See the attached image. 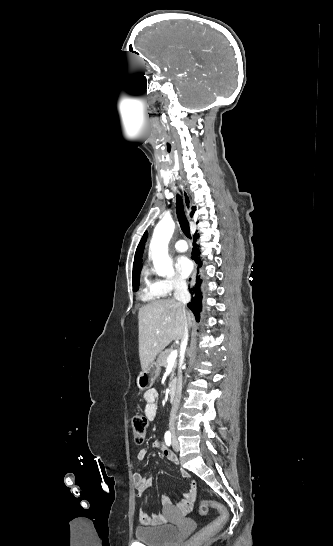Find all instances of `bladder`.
<instances>
[{
  "label": "bladder",
  "mask_w": 333,
  "mask_h": 546,
  "mask_svg": "<svg viewBox=\"0 0 333 546\" xmlns=\"http://www.w3.org/2000/svg\"><path fill=\"white\" fill-rule=\"evenodd\" d=\"M135 537L148 546H172L179 538V529L172 524L138 527Z\"/></svg>",
  "instance_id": "1"
}]
</instances>
